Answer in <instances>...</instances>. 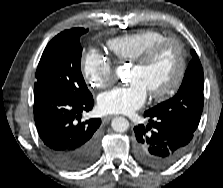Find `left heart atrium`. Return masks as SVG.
Masks as SVG:
<instances>
[{
	"instance_id": "left-heart-atrium-1",
	"label": "left heart atrium",
	"mask_w": 223,
	"mask_h": 188,
	"mask_svg": "<svg viewBox=\"0 0 223 188\" xmlns=\"http://www.w3.org/2000/svg\"><path fill=\"white\" fill-rule=\"evenodd\" d=\"M147 90L139 81L125 86L113 87L101 93L97 100L98 110L103 114H129L146 101Z\"/></svg>"
}]
</instances>
